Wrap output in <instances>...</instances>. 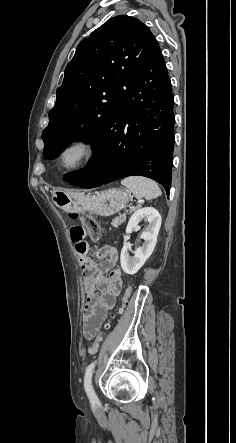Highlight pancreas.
I'll list each match as a JSON object with an SVG mask.
<instances>
[{
    "instance_id": "1",
    "label": "pancreas",
    "mask_w": 236,
    "mask_h": 443,
    "mask_svg": "<svg viewBox=\"0 0 236 443\" xmlns=\"http://www.w3.org/2000/svg\"><path fill=\"white\" fill-rule=\"evenodd\" d=\"M135 209H131L130 213H132ZM126 220V214H121L119 216H117L115 219L112 220L111 225L115 228H117L118 226H120L122 223H124Z\"/></svg>"
}]
</instances>
